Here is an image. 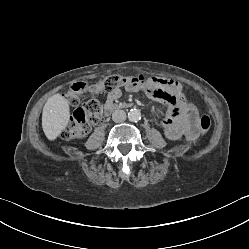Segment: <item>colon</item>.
I'll list each match as a JSON object with an SVG mask.
<instances>
[{"label":"colon","mask_w":249,"mask_h":249,"mask_svg":"<svg viewBox=\"0 0 249 249\" xmlns=\"http://www.w3.org/2000/svg\"><path fill=\"white\" fill-rule=\"evenodd\" d=\"M139 81L134 77L110 75L90 87L91 92L99 93L103 90H113L118 87L133 85ZM86 84L82 82L74 83L66 93V98L70 103L76 104L86 92ZM103 112L102 105L97 100H89L82 107L75 110L66 127L62 131L65 139H78L84 137L91 126L98 123ZM198 128L202 133L211 129L212 122L209 116L203 115L198 120Z\"/></svg>","instance_id":"obj_1"}]
</instances>
